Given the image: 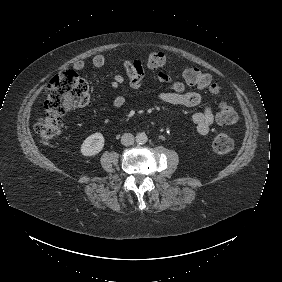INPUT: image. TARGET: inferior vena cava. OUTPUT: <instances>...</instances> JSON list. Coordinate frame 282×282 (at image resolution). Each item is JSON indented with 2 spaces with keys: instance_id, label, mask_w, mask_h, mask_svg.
I'll list each match as a JSON object with an SVG mask.
<instances>
[{
  "instance_id": "602c4592",
  "label": "inferior vena cava",
  "mask_w": 282,
  "mask_h": 282,
  "mask_svg": "<svg viewBox=\"0 0 282 282\" xmlns=\"http://www.w3.org/2000/svg\"><path fill=\"white\" fill-rule=\"evenodd\" d=\"M120 142L125 147L130 146L134 143V136L131 133H125L121 136Z\"/></svg>"
}]
</instances>
